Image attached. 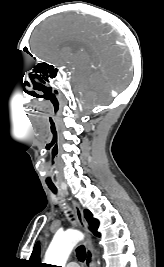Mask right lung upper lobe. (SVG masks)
<instances>
[{
    "label": "right lung upper lobe",
    "mask_w": 164,
    "mask_h": 267,
    "mask_svg": "<svg viewBox=\"0 0 164 267\" xmlns=\"http://www.w3.org/2000/svg\"><path fill=\"white\" fill-rule=\"evenodd\" d=\"M30 264L32 265V267H41L39 244L35 245L34 247L33 253L30 258Z\"/></svg>",
    "instance_id": "right-lung-upper-lobe-1"
}]
</instances>
